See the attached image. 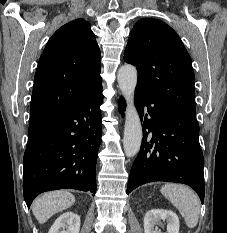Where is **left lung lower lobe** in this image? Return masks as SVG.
<instances>
[{"instance_id":"obj_1","label":"left lung lower lobe","mask_w":227,"mask_h":233,"mask_svg":"<svg viewBox=\"0 0 227 233\" xmlns=\"http://www.w3.org/2000/svg\"><path fill=\"white\" fill-rule=\"evenodd\" d=\"M143 140L131 168L127 194L153 181L191 186L204 201V158L196 116L164 100L135 90Z\"/></svg>"}]
</instances>
